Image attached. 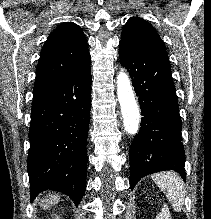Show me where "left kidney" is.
I'll list each match as a JSON object with an SVG mask.
<instances>
[{
  "mask_svg": "<svg viewBox=\"0 0 211 219\" xmlns=\"http://www.w3.org/2000/svg\"><path fill=\"white\" fill-rule=\"evenodd\" d=\"M156 219H171L169 208L167 206H163L161 212L156 217Z\"/></svg>",
  "mask_w": 211,
  "mask_h": 219,
  "instance_id": "1",
  "label": "left kidney"
}]
</instances>
